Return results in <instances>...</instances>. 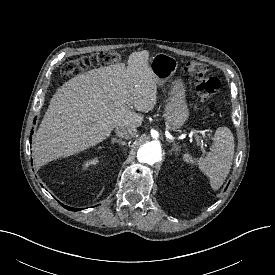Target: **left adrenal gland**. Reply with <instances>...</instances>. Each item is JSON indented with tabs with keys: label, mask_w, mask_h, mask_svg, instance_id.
I'll return each mask as SVG.
<instances>
[{
	"label": "left adrenal gland",
	"mask_w": 275,
	"mask_h": 275,
	"mask_svg": "<svg viewBox=\"0 0 275 275\" xmlns=\"http://www.w3.org/2000/svg\"><path fill=\"white\" fill-rule=\"evenodd\" d=\"M168 142H170V143L172 142V146H173V150H174V151L177 152V151L179 150V146H178L174 141H169V140H168Z\"/></svg>",
	"instance_id": "a2214340"
}]
</instances>
